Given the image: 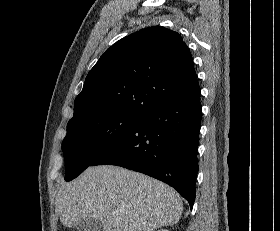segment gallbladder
Instances as JSON below:
<instances>
[{
	"label": "gallbladder",
	"mask_w": 280,
	"mask_h": 231,
	"mask_svg": "<svg viewBox=\"0 0 280 231\" xmlns=\"http://www.w3.org/2000/svg\"><path fill=\"white\" fill-rule=\"evenodd\" d=\"M101 227V221H98V219H93V217L83 219V221H79L77 225L78 231H100Z\"/></svg>",
	"instance_id": "obj_1"
}]
</instances>
